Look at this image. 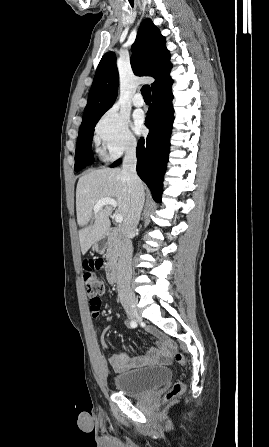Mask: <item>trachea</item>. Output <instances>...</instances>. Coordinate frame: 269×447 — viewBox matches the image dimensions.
<instances>
[{"instance_id": "1", "label": "trachea", "mask_w": 269, "mask_h": 447, "mask_svg": "<svg viewBox=\"0 0 269 447\" xmlns=\"http://www.w3.org/2000/svg\"><path fill=\"white\" fill-rule=\"evenodd\" d=\"M144 100H151V90L149 85H144L141 89Z\"/></svg>"}]
</instances>
